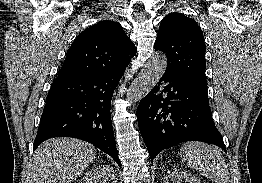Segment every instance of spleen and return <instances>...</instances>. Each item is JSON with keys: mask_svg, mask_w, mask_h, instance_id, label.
I'll use <instances>...</instances> for the list:
<instances>
[{"mask_svg": "<svg viewBox=\"0 0 262 183\" xmlns=\"http://www.w3.org/2000/svg\"><path fill=\"white\" fill-rule=\"evenodd\" d=\"M186 164L215 183H229V172L221 153L213 146L201 142H188L180 148Z\"/></svg>", "mask_w": 262, "mask_h": 183, "instance_id": "spleen-1", "label": "spleen"}]
</instances>
